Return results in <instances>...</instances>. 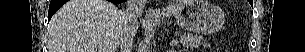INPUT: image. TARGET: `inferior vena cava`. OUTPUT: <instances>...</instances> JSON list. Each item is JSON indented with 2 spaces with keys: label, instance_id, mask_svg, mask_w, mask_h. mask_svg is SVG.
I'll list each match as a JSON object with an SVG mask.
<instances>
[{
  "label": "inferior vena cava",
  "instance_id": "obj_1",
  "mask_svg": "<svg viewBox=\"0 0 305 52\" xmlns=\"http://www.w3.org/2000/svg\"><path fill=\"white\" fill-rule=\"evenodd\" d=\"M146 2L147 0H128L126 11L123 13L124 30L118 43L121 52H132L138 17L144 10Z\"/></svg>",
  "mask_w": 305,
  "mask_h": 52
}]
</instances>
